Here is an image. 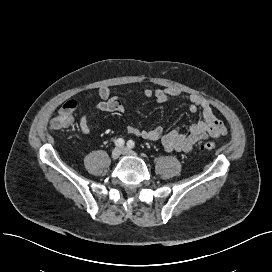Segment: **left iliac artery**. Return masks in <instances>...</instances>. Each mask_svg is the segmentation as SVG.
I'll use <instances>...</instances> for the list:
<instances>
[{
	"label": "left iliac artery",
	"instance_id": "left-iliac-artery-1",
	"mask_svg": "<svg viewBox=\"0 0 272 272\" xmlns=\"http://www.w3.org/2000/svg\"><path fill=\"white\" fill-rule=\"evenodd\" d=\"M127 146L129 147V148H134L135 147V142L133 141V140H129L128 142H127Z\"/></svg>",
	"mask_w": 272,
	"mask_h": 272
}]
</instances>
